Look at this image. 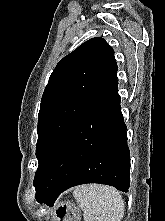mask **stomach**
I'll return each instance as SVG.
<instances>
[{"label":"stomach","mask_w":165,"mask_h":221,"mask_svg":"<svg viewBox=\"0 0 165 221\" xmlns=\"http://www.w3.org/2000/svg\"><path fill=\"white\" fill-rule=\"evenodd\" d=\"M61 212H52V217H63L55 218V221H79L77 209L70 203H61L59 209Z\"/></svg>","instance_id":"stomach-1"}]
</instances>
